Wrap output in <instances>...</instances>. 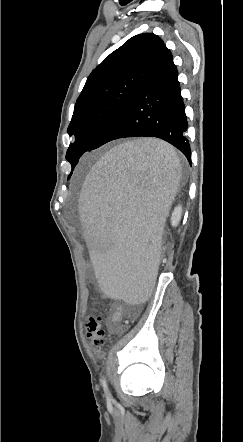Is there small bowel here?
<instances>
[{
	"instance_id": "c3829d8e",
	"label": "small bowel",
	"mask_w": 243,
	"mask_h": 442,
	"mask_svg": "<svg viewBox=\"0 0 243 442\" xmlns=\"http://www.w3.org/2000/svg\"><path fill=\"white\" fill-rule=\"evenodd\" d=\"M123 315V311L121 308H116L113 312V315L110 320V330L115 333L118 332L120 327L118 326V322L120 321Z\"/></svg>"
}]
</instances>
